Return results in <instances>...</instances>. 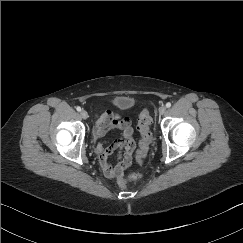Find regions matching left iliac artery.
<instances>
[{"label":"left iliac artery","mask_w":243,"mask_h":243,"mask_svg":"<svg viewBox=\"0 0 243 243\" xmlns=\"http://www.w3.org/2000/svg\"><path fill=\"white\" fill-rule=\"evenodd\" d=\"M166 107L170 108L171 107V103L170 102L166 103Z\"/></svg>","instance_id":"44dca946"}]
</instances>
